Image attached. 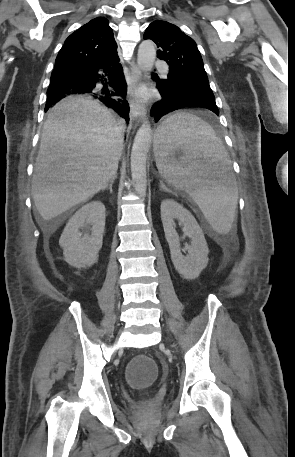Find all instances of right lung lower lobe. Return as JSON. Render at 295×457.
I'll use <instances>...</instances> for the list:
<instances>
[{
    "label": "right lung lower lobe",
    "mask_w": 295,
    "mask_h": 457,
    "mask_svg": "<svg viewBox=\"0 0 295 457\" xmlns=\"http://www.w3.org/2000/svg\"><path fill=\"white\" fill-rule=\"evenodd\" d=\"M100 83L103 87H97ZM127 86L117 52L95 64L52 72L45 111L55 102L72 94L91 95L129 120V104L124 99Z\"/></svg>",
    "instance_id": "right-lung-lower-lobe-1"
}]
</instances>
